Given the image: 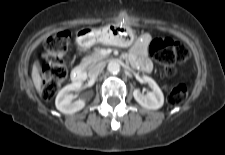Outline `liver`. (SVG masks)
<instances>
[{
    "mask_svg": "<svg viewBox=\"0 0 225 155\" xmlns=\"http://www.w3.org/2000/svg\"><path fill=\"white\" fill-rule=\"evenodd\" d=\"M32 80H33V83H34V86L36 88V90L41 93L42 90H41V77H40V73H39V68H38V65L37 63H34L33 64V67H32Z\"/></svg>",
    "mask_w": 225,
    "mask_h": 155,
    "instance_id": "obj_1",
    "label": "liver"
}]
</instances>
